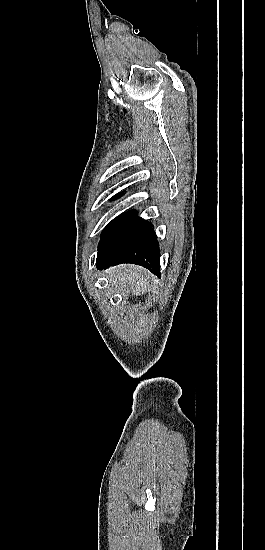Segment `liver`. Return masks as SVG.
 I'll use <instances>...</instances> for the list:
<instances>
[{
  "label": "liver",
  "mask_w": 265,
  "mask_h": 550,
  "mask_svg": "<svg viewBox=\"0 0 265 550\" xmlns=\"http://www.w3.org/2000/svg\"><path fill=\"white\" fill-rule=\"evenodd\" d=\"M114 284L127 288L132 295H141L149 288L150 274L141 267L122 265L111 271Z\"/></svg>",
  "instance_id": "6515ba94"
}]
</instances>
